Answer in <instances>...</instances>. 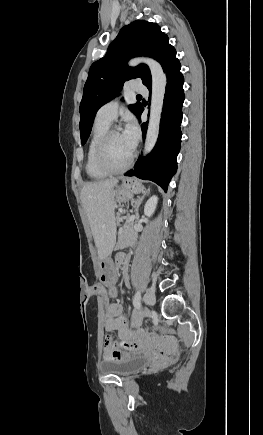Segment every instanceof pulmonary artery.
Here are the masks:
<instances>
[{
	"label": "pulmonary artery",
	"mask_w": 263,
	"mask_h": 435,
	"mask_svg": "<svg viewBox=\"0 0 263 435\" xmlns=\"http://www.w3.org/2000/svg\"><path fill=\"white\" fill-rule=\"evenodd\" d=\"M131 90L137 93H147V88L138 81L131 83ZM119 110V102L111 100L104 104L97 112L96 119L111 124L117 117Z\"/></svg>",
	"instance_id": "1"
}]
</instances>
